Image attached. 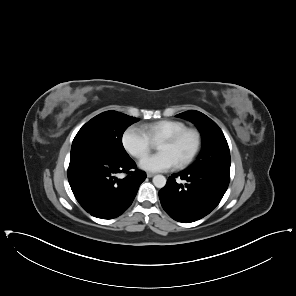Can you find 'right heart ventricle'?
Returning <instances> with one entry per match:
<instances>
[{"label":"right heart ventricle","mask_w":296,"mask_h":296,"mask_svg":"<svg viewBox=\"0 0 296 296\" xmlns=\"http://www.w3.org/2000/svg\"><path fill=\"white\" fill-rule=\"evenodd\" d=\"M185 129L181 123L162 122L152 127V135L154 140L161 142Z\"/></svg>","instance_id":"right-heart-ventricle-1"}]
</instances>
